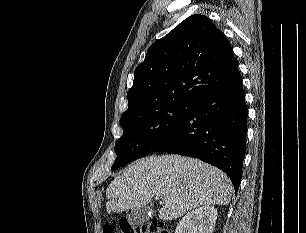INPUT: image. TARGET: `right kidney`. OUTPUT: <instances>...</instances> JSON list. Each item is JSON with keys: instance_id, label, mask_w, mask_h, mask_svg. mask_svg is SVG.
I'll return each instance as SVG.
<instances>
[{"instance_id": "1", "label": "right kidney", "mask_w": 306, "mask_h": 233, "mask_svg": "<svg viewBox=\"0 0 306 233\" xmlns=\"http://www.w3.org/2000/svg\"><path fill=\"white\" fill-rule=\"evenodd\" d=\"M217 209L201 206L188 212L177 224L175 233H212L216 224Z\"/></svg>"}]
</instances>
